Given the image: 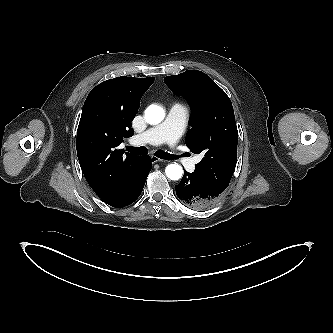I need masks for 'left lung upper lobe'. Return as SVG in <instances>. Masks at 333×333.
Returning a JSON list of instances; mask_svg holds the SVG:
<instances>
[{"label":"left lung upper lobe","instance_id":"left-lung-upper-lobe-1","mask_svg":"<svg viewBox=\"0 0 333 333\" xmlns=\"http://www.w3.org/2000/svg\"><path fill=\"white\" fill-rule=\"evenodd\" d=\"M164 82L175 94L186 97L193 108L185 143L191 152L204 154L193 173L224 191L237 161L238 131L229 97L198 70L167 76Z\"/></svg>","mask_w":333,"mask_h":333}]
</instances>
